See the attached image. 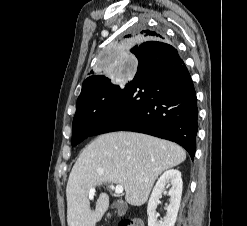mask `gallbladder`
<instances>
[{"label":"gallbladder","instance_id":"obj_1","mask_svg":"<svg viewBox=\"0 0 247 226\" xmlns=\"http://www.w3.org/2000/svg\"><path fill=\"white\" fill-rule=\"evenodd\" d=\"M114 208L118 210L119 215H123L126 211L127 205L124 202L117 201L113 204Z\"/></svg>","mask_w":247,"mask_h":226}]
</instances>
